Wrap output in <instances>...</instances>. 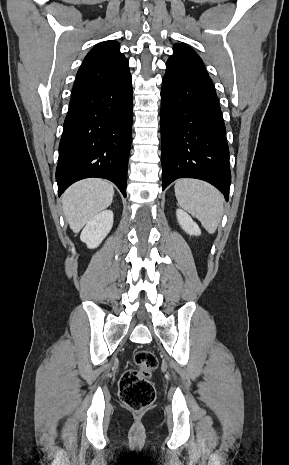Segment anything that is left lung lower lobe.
<instances>
[{"mask_svg":"<svg viewBox=\"0 0 289 465\" xmlns=\"http://www.w3.org/2000/svg\"><path fill=\"white\" fill-rule=\"evenodd\" d=\"M164 190L178 178L217 187L228 201L231 184L225 125L208 74L167 70L161 91Z\"/></svg>","mask_w":289,"mask_h":465,"instance_id":"1","label":"left lung lower lobe"}]
</instances>
